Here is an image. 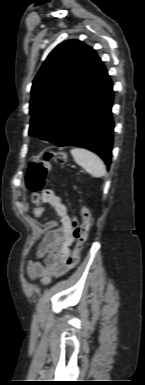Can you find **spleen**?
Returning a JSON list of instances; mask_svg holds the SVG:
<instances>
[{"instance_id": "1", "label": "spleen", "mask_w": 145, "mask_h": 385, "mask_svg": "<svg viewBox=\"0 0 145 385\" xmlns=\"http://www.w3.org/2000/svg\"><path fill=\"white\" fill-rule=\"evenodd\" d=\"M71 154L75 162L94 177H103L106 168L103 161L93 152L84 148H73Z\"/></svg>"}]
</instances>
